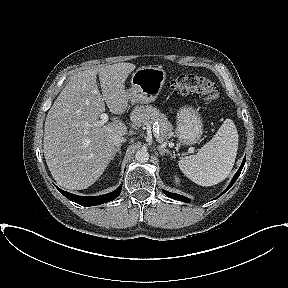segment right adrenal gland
<instances>
[{"mask_svg": "<svg viewBox=\"0 0 288 288\" xmlns=\"http://www.w3.org/2000/svg\"><path fill=\"white\" fill-rule=\"evenodd\" d=\"M116 153H118L119 156L121 157V144L119 146H117L115 155H116ZM113 159H114V157H113Z\"/></svg>", "mask_w": 288, "mask_h": 288, "instance_id": "right-adrenal-gland-1", "label": "right adrenal gland"}]
</instances>
